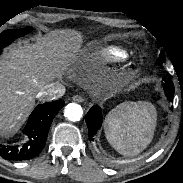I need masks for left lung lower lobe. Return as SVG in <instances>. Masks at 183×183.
<instances>
[{"instance_id": "0a47b994", "label": "left lung lower lobe", "mask_w": 183, "mask_h": 183, "mask_svg": "<svg viewBox=\"0 0 183 183\" xmlns=\"http://www.w3.org/2000/svg\"><path fill=\"white\" fill-rule=\"evenodd\" d=\"M165 95L169 101H172L174 96V85L171 80H165L163 83ZM86 123L89 131V139L93 141V137L102 125V111L99 106H93L86 115Z\"/></svg>"}]
</instances>
